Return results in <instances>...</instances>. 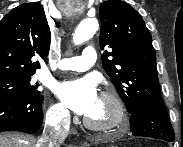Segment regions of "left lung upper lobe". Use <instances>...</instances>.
Returning <instances> with one entry per match:
<instances>
[{
  "instance_id": "5c2ea615",
  "label": "left lung upper lobe",
  "mask_w": 183,
  "mask_h": 147,
  "mask_svg": "<svg viewBox=\"0 0 183 147\" xmlns=\"http://www.w3.org/2000/svg\"><path fill=\"white\" fill-rule=\"evenodd\" d=\"M103 68L128 112L163 107L151 34L141 15L126 2L108 0L100 6Z\"/></svg>"
}]
</instances>
